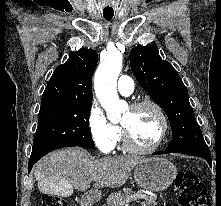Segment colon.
<instances>
[{
  "instance_id": "1",
  "label": "colon",
  "mask_w": 221,
  "mask_h": 206,
  "mask_svg": "<svg viewBox=\"0 0 221 206\" xmlns=\"http://www.w3.org/2000/svg\"><path fill=\"white\" fill-rule=\"evenodd\" d=\"M176 192L181 206H210L205 184L191 171H181L176 177ZM42 206H68L63 198L53 194L42 197Z\"/></svg>"
}]
</instances>
